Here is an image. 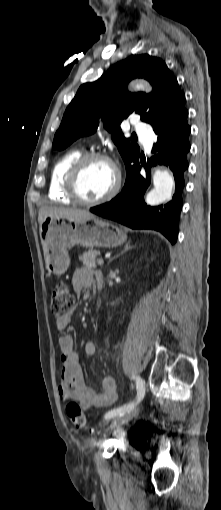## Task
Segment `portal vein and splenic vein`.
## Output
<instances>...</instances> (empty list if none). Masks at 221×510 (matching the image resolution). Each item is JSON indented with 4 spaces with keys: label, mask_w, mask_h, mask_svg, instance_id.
I'll return each instance as SVG.
<instances>
[{
    "label": "portal vein and splenic vein",
    "mask_w": 221,
    "mask_h": 510,
    "mask_svg": "<svg viewBox=\"0 0 221 510\" xmlns=\"http://www.w3.org/2000/svg\"><path fill=\"white\" fill-rule=\"evenodd\" d=\"M97 263H98L99 265H103V264H104V260H103L102 258H99V259L97 260Z\"/></svg>",
    "instance_id": "18ae733b"
}]
</instances>
